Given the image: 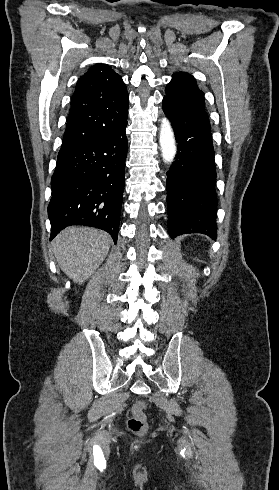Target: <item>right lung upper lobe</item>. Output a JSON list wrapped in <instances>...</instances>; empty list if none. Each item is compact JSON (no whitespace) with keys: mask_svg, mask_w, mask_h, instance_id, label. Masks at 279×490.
Returning a JSON list of instances; mask_svg holds the SVG:
<instances>
[{"mask_svg":"<svg viewBox=\"0 0 279 490\" xmlns=\"http://www.w3.org/2000/svg\"><path fill=\"white\" fill-rule=\"evenodd\" d=\"M128 103L121 76L106 65L93 66L76 84L60 151L99 139L127 123Z\"/></svg>","mask_w":279,"mask_h":490,"instance_id":"right-lung-upper-lobe-1","label":"right lung upper lobe"}]
</instances>
